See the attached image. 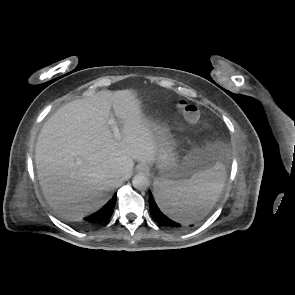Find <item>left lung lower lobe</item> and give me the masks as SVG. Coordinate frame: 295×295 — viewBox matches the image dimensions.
<instances>
[{
	"label": "left lung lower lobe",
	"instance_id": "1",
	"mask_svg": "<svg viewBox=\"0 0 295 295\" xmlns=\"http://www.w3.org/2000/svg\"><path fill=\"white\" fill-rule=\"evenodd\" d=\"M149 206H150V212H151L153 219L157 223H159L160 225L165 226V227H170V228H180L181 227V224H179L175 221H172L171 219H169L167 216H165L160 211V209L158 208V206L156 205V203L153 199L151 192L149 193Z\"/></svg>",
	"mask_w": 295,
	"mask_h": 295
}]
</instances>
